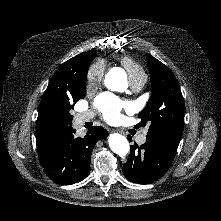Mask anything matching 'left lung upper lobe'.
I'll return each instance as SVG.
<instances>
[{"label":"left lung upper lobe","instance_id":"1","mask_svg":"<svg viewBox=\"0 0 221 221\" xmlns=\"http://www.w3.org/2000/svg\"><path fill=\"white\" fill-rule=\"evenodd\" d=\"M152 94L139 113L140 123L136 127L149 125L147 136H182L185 103L179 83L172 71L159 60L147 54Z\"/></svg>","mask_w":221,"mask_h":221}]
</instances>
